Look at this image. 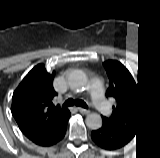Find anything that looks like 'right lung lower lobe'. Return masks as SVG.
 Here are the masks:
<instances>
[{
	"label": "right lung lower lobe",
	"mask_w": 160,
	"mask_h": 158,
	"mask_svg": "<svg viewBox=\"0 0 160 158\" xmlns=\"http://www.w3.org/2000/svg\"><path fill=\"white\" fill-rule=\"evenodd\" d=\"M70 117V116H69ZM68 118L60 124L58 127L50 130L49 132L40 135L31 141L40 146H51L62 140L67 130Z\"/></svg>",
	"instance_id": "obj_1"
}]
</instances>
